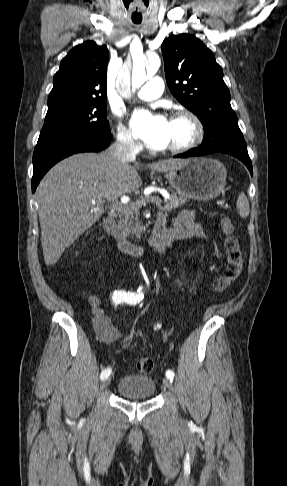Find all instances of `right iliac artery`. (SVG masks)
Wrapping results in <instances>:
<instances>
[{"label": "right iliac artery", "instance_id": "82829eb1", "mask_svg": "<svg viewBox=\"0 0 287 486\" xmlns=\"http://www.w3.org/2000/svg\"><path fill=\"white\" fill-rule=\"evenodd\" d=\"M137 292L138 293L129 292V291L126 292L124 290L115 291L112 295V302H113V304L118 305V304L127 302V300L134 299L136 296L139 297V299L137 301L140 302V300L143 299V293L141 292L140 289ZM110 373H111V368H106V369L102 370L100 378L102 380H104V379L108 378Z\"/></svg>", "mask_w": 287, "mask_h": 486}]
</instances>
